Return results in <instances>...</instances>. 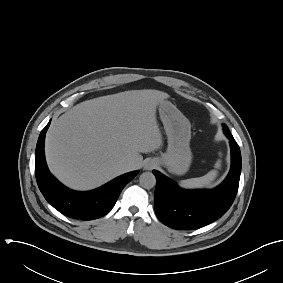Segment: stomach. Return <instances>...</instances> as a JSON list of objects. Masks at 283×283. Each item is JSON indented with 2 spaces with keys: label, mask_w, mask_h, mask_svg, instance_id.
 I'll return each mask as SVG.
<instances>
[{
  "label": "stomach",
  "mask_w": 283,
  "mask_h": 283,
  "mask_svg": "<svg viewBox=\"0 0 283 283\" xmlns=\"http://www.w3.org/2000/svg\"><path fill=\"white\" fill-rule=\"evenodd\" d=\"M159 115L168 138V147L156 160L171 173L182 175L187 172L192 161L190 122L168 101L159 103Z\"/></svg>",
  "instance_id": "stomach-1"
}]
</instances>
